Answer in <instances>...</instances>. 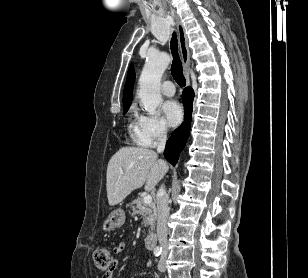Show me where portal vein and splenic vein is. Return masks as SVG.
Returning <instances> with one entry per match:
<instances>
[{"label": "portal vein and splenic vein", "instance_id": "18ae733b", "mask_svg": "<svg viewBox=\"0 0 308 278\" xmlns=\"http://www.w3.org/2000/svg\"><path fill=\"white\" fill-rule=\"evenodd\" d=\"M121 174H123V172H121ZM142 200H143V203H145V204L151 203L152 202V196L151 195H145Z\"/></svg>", "mask_w": 308, "mask_h": 278}]
</instances>
